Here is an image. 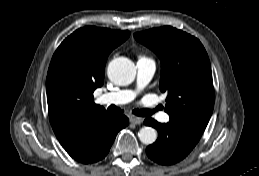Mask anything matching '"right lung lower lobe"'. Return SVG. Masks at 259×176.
I'll return each instance as SVG.
<instances>
[{
    "label": "right lung lower lobe",
    "mask_w": 259,
    "mask_h": 176,
    "mask_svg": "<svg viewBox=\"0 0 259 176\" xmlns=\"http://www.w3.org/2000/svg\"><path fill=\"white\" fill-rule=\"evenodd\" d=\"M129 119L122 114H108L97 124L93 132L71 149H65L76 161L95 163L109 152L117 133L128 125Z\"/></svg>",
    "instance_id": "obj_1"
}]
</instances>
